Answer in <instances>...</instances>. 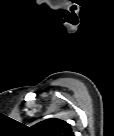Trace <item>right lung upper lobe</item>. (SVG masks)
I'll use <instances>...</instances> for the list:
<instances>
[{
  "instance_id": "cb5924a9",
  "label": "right lung upper lobe",
  "mask_w": 114,
  "mask_h": 136,
  "mask_svg": "<svg viewBox=\"0 0 114 136\" xmlns=\"http://www.w3.org/2000/svg\"><path fill=\"white\" fill-rule=\"evenodd\" d=\"M31 131L37 136H73L70 125L57 118L41 121L32 126Z\"/></svg>"
}]
</instances>
